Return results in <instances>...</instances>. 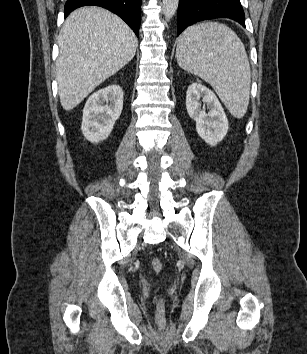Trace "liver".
<instances>
[{
  "label": "liver",
  "instance_id": "obj_1",
  "mask_svg": "<svg viewBox=\"0 0 307 354\" xmlns=\"http://www.w3.org/2000/svg\"><path fill=\"white\" fill-rule=\"evenodd\" d=\"M58 45L56 81L60 103L70 111L133 59L138 40L117 15L82 7L66 18Z\"/></svg>",
  "mask_w": 307,
  "mask_h": 354
}]
</instances>
